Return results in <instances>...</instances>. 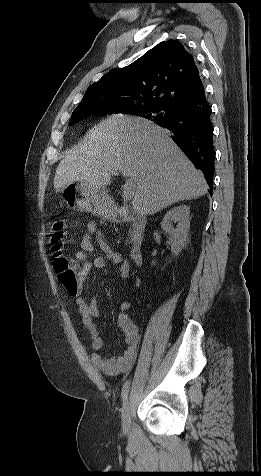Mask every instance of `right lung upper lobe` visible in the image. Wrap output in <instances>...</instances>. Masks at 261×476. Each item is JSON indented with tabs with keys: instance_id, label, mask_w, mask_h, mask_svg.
Segmentation results:
<instances>
[{
	"instance_id": "1",
	"label": "right lung upper lobe",
	"mask_w": 261,
	"mask_h": 476,
	"mask_svg": "<svg viewBox=\"0 0 261 476\" xmlns=\"http://www.w3.org/2000/svg\"><path fill=\"white\" fill-rule=\"evenodd\" d=\"M204 86L193 56L176 40L163 41L135 62L106 73L90 85L77 106L120 105L128 110L193 101Z\"/></svg>"
}]
</instances>
